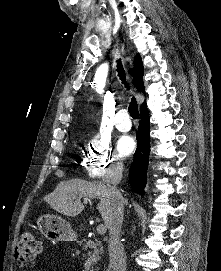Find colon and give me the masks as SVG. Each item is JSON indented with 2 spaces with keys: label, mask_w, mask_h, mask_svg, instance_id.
<instances>
[{
  "label": "colon",
  "mask_w": 221,
  "mask_h": 271,
  "mask_svg": "<svg viewBox=\"0 0 221 271\" xmlns=\"http://www.w3.org/2000/svg\"><path fill=\"white\" fill-rule=\"evenodd\" d=\"M42 249V243L30 232H25L16 242L15 261L23 266L35 265Z\"/></svg>",
  "instance_id": "obj_1"
}]
</instances>
